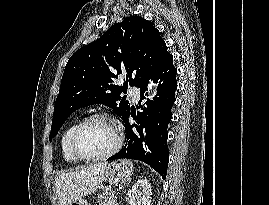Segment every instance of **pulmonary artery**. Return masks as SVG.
<instances>
[{
    "mask_svg": "<svg viewBox=\"0 0 269 205\" xmlns=\"http://www.w3.org/2000/svg\"><path fill=\"white\" fill-rule=\"evenodd\" d=\"M129 93H130V95L133 97V99L136 101L138 98H139V96H140V92H139V90L138 89H136V88H130L129 89Z\"/></svg>",
    "mask_w": 269,
    "mask_h": 205,
    "instance_id": "1",
    "label": "pulmonary artery"
}]
</instances>
